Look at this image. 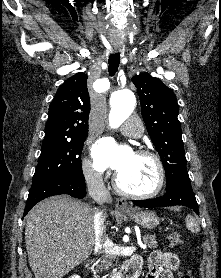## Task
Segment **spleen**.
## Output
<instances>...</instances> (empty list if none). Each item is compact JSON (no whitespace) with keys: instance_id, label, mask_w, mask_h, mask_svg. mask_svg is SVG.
<instances>
[{"instance_id":"3e777b00","label":"spleen","mask_w":221,"mask_h":278,"mask_svg":"<svg viewBox=\"0 0 221 278\" xmlns=\"http://www.w3.org/2000/svg\"><path fill=\"white\" fill-rule=\"evenodd\" d=\"M186 226L192 233H199L200 231L197 221L190 215L186 217Z\"/></svg>"}]
</instances>
